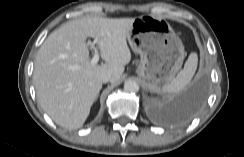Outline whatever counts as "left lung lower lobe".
<instances>
[{"mask_svg": "<svg viewBox=\"0 0 244 157\" xmlns=\"http://www.w3.org/2000/svg\"><path fill=\"white\" fill-rule=\"evenodd\" d=\"M205 91V82L200 81L183 93L178 100L172 119L186 121L192 118L203 104Z\"/></svg>", "mask_w": 244, "mask_h": 157, "instance_id": "0a47b994", "label": "left lung lower lobe"}]
</instances>
